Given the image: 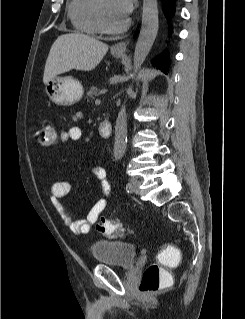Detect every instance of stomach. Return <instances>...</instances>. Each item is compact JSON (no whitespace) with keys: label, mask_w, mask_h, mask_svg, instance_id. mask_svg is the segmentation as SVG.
<instances>
[{"label":"stomach","mask_w":245,"mask_h":319,"mask_svg":"<svg viewBox=\"0 0 245 319\" xmlns=\"http://www.w3.org/2000/svg\"><path fill=\"white\" fill-rule=\"evenodd\" d=\"M115 57H121V54H114ZM45 91L50 100L60 106H70L83 96V86L76 78L66 76H55L45 85Z\"/></svg>","instance_id":"0dacf381"}]
</instances>
